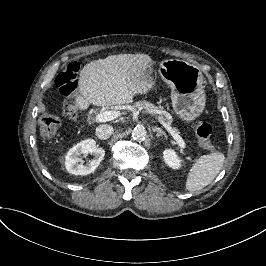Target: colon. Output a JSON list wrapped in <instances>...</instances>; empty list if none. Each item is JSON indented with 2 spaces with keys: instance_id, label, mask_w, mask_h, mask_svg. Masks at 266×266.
<instances>
[{
  "instance_id": "1",
  "label": "colon",
  "mask_w": 266,
  "mask_h": 266,
  "mask_svg": "<svg viewBox=\"0 0 266 266\" xmlns=\"http://www.w3.org/2000/svg\"><path fill=\"white\" fill-rule=\"evenodd\" d=\"M79 62L71 61L57 77V87L59 91L68 96L75 93L78 87L77 74L79 70ZM58 127V119L50 112L44 113L39 120L40 135L44 139H50L56 132ZM191 128L197 133L201 145L206 149H212L210 137L212 134V127L209 123L200 118H195L192 121Z\"/></svg>"
}]
</instances>
